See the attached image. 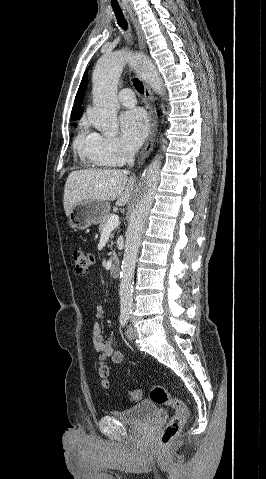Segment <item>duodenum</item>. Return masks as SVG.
<instances>
[{
  "mask_svg": "<svg viewBox=\"0 0 266 479\" xmlns=\"http://www.w3.org/2000/svg\"><path fill=\"white\" fill-rule=\"evenodd\" d=\"M109 273L112 278H118L120 274V260L117 255L110 256Z\"/></svg>",
  "mask_w": 266,
  "mask_h": 479,
  "instance_id": "duodenum-1",
  "label": "duodenum"
}]
</instances>
